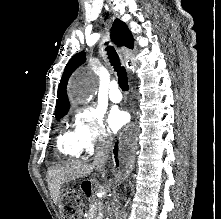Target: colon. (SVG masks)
<instances>
[{
	"instance_id": "1",
	"label": "colon",
	"mask_w": 221,
	"mask_h": 219,
	"mask_svg": "<svg viewBox=\"0 0 221 219\" xmlns=\"http://www.w3.org/2000/svg\"><path fill=\"white\" fill-rule=\"evenodd\" d=\"M80 198L74 191H68L63 195V207L67 218L76 219L79 211Z\"/></svg>"
}]
</instances>
